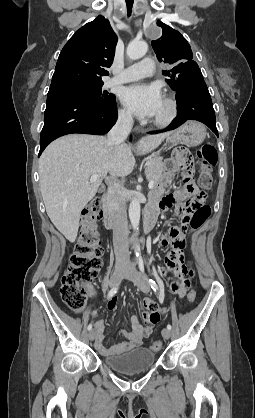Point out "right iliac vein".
<instances>
[{"mask_svg":"<svg viewBox=\"0 0 255 418\" xmlns=\"http://www.w3.org/2000/svg\"><path fill=\"white\" fill-rule=\"evenodd\" d=\"M124 275H125V270L123 268H121V267L116 268L115 271H114V273L110 277L109 286L110 287L117 286L121 282V280L124 277ZM88 337H89V339L91 341L94 340V338H95V331L94 330H90L89 331V334H88Z\"/></svg>","mask_w":255,"mask_h":418,"instance_id":"1","label":"right iliac vein"}]
</instances>
